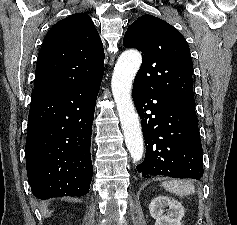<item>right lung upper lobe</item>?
<instances>
[{
	"label": "right lung upper lobe",
	"mask_w": 237,
	"mask_h": 225,
	"mask_svg": "<svg viewBox=\"0 0 237 225\" xmlns=\"http://www.w3.org/2000/svg\"><path fill=\"white\" fill-rule=\"evenodd\" d=\"M104 51L89 15L76 13L46 34L38 55L31 101L62 97L102 79Z\"/></svg>",
	"instance_id": "right-lung-upper-lobe-1"
}]
</instances>
